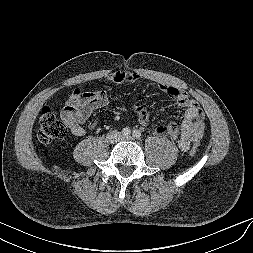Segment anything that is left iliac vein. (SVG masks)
<instances>
[{
    "label": "left iliac vein",
    "instance_id": "obj_1",
    "mask_svg": "<svg viewBox=\"0 0 253 253\" xmlns=\"http://www.w3.org/2000/svg\"><path fill=\"white\" fill-rule=\"evenodd\" d=\"M123 140H132V138L130 136H126L122 138Z\"/></svg>",
    "mask_w": 253,
    "mask_h": 253
}]
</instances>
